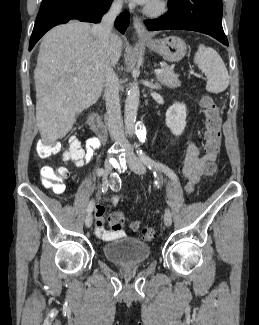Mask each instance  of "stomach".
<instances>
[{
    "label": "stomach",
    "mask_w": 259,
    "mask_h": 325,
    "mask_svg": "<svg viewBox=\"0 0 259 325\" xmlns=\"http://www.w3.org/2000/svg\"><path fill=\"white\" fill-rule=\"evenodd\" d=\"M145 44L151 51L158 53L163 59L169 62L181 61L187 52L185 41L176 36L146 41Z\"/></svg>",
    "instance_id": "obj_1"
}]
</instances>
